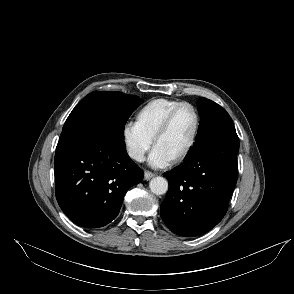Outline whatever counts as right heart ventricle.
I'll list each match as a JSON object with an SVG mask.
<instances>
[{"label": "right heart ventricle", "instance_id": "obj_1", "mask_svg": "<svg viewBox=\"0 0 294 294\" xmlns=\"http://www.w3.org/2000/svg\"><path fill=\"white\" fill-rule=\"evenodd\" d=\"M181 103L177 100L156 98L144 104L136 113V123L151 139L167 113Z\"/></svg>", "mask_w": 294, "mask_h": 294}]
</instances>
